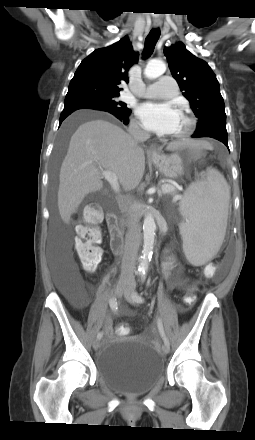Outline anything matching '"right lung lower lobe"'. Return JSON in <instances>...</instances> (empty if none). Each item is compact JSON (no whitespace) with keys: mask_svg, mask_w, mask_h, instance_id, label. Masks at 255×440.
<instances>
[{"mask_svg":"<svg viewBox=\"0 0 255 440\" xmlns=\"http://www.w3.org/2000/svg\"><path fill=\"white\" fill-rule=\"evenodd\" d=\"M80 109L100 110V111L109 112L112 115H114L115 117H117L124 124H128V122H129L128 117H129L130 112L123 113V112L116 111L114 109L107 108V107L102 106V105L85 104V103H74V104L64 105V109H63V111H62V113L60 115V120H59L60 124L72 112H74L76 110H80Z\"/></svg>","mask_w":255,"mask_h":440,"instance_id":"98d812e1","label":"right lung lower lobe"}]
</instances>
